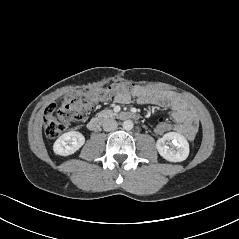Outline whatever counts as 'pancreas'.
I'll list each match as a JSON object with an SVG mask.
<instances>
[{
    "label": "pancreas",
    "instance_id": "cf45deb5",
    "mask_svg": "<svg viewBox=\"0 0 239 239\" xmlns=\"http://www.w3.org/2000/svg\"><path fill=\"white\" fill-rule=\"evenodd\" d=\"M113 114V111L112 110H108V109H105L101 112L98 113L99 116H104V115H111Z\"/></svg>",
    "mask_w": 239,
    "mask_h": 239
}]
</instances>
